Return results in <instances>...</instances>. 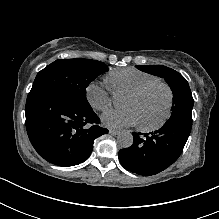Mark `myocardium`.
Listing matches in <instances>:
<instances>
[{
    "label": "myocardium",
    "instance_id": "f54148a6",
    "mask_svg": "<svg viewBox=\"0 0 219 219\" xmlns=\"http://www.w3.org/2000/svg\"><path fill=\"white\" fill-rule=\"evenodd\" d=\"M156 86H162L167 90L168 105H167L166 113H165L164 117L162 118V120L155 125L146 126L143 124H139V129L143 132H153V131L159 130L167 123V121L169 120V118L171 116L173 103H174L173 90L168 83L159 80V81H152V82L145 83L144 85H142V86L136 88L135 90L130 91L129 93L126 94L127 97H136L138 95H141L145 91L149 90L150 88H153Z\"/></svg>",
    "mask_w": 219,
    "mask_h": 219
}]
</instances>
